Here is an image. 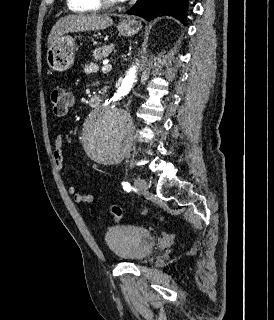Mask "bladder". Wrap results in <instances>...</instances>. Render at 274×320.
Here are the masks:
<instances>
[{
	"instance_id": "bladder-1",
	"label": "bladder",
	"mask_w": 274,
	"mask_h": 320,
	"mask_svg": "<svg viewBox=\"0 0 274 320\" xmlns=\"http://www.w3.org/2000/svg\"><path fill=\"white\" fill-rule=\"evenodd\" d=\"M108 250L125 262H140L153 251V235L146 228L134 225H114L104 234Z\"/></svg>"
}]
</instances>
